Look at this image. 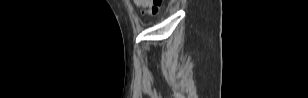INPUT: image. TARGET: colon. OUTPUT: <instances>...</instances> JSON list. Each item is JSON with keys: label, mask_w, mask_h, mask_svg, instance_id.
I'll return each mask as SVG.
<instances>
[{"label": "colon", "mask_w": 308, "mask_h": 98, "mask_svg": "<svg viewBox=\"0 0 308 98\" xmlns=\"http://www.w3.org/2000/svg\"><path fill=\"white\" fill-rule=\"evenodd\" d=\"M135 3L142 8H147L150 16L156 15L162 5V0H135Z\"/></svg>", "instance_id": "5ec220e1"}]
</instances>
